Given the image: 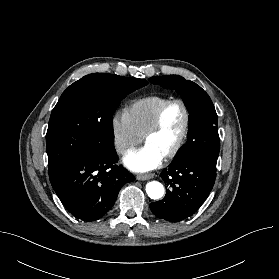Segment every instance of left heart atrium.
<instances>
[{"instance_id":"39dd6f15","label":"left heart atrium","mask_w":279,"mask_h":279,"mask_svg":"<svg viewBox=\"0 0 279 279\" xmlns=\"http://www.w3.org/2000/svg\"><path fill=\"white\" fill-rule=\"evenodd\" d=\"M163 157L157 150L146 144L144 147L129 153L124 158V163L132 171L145 172L156 168Z\"/></svg>"}]
</instances>
